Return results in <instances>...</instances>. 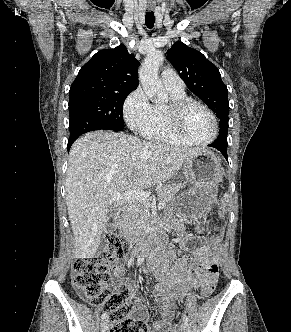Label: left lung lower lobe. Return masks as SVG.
<instances>
[{"instance_id":"0a47b994","label":"left lung lower lobe","mask_w":291,"mask_h":332,"mask_svg":"<svg viewBox=\"0 0 291 332\" xmlns=\"http://www.w3.org/2000/svg\"><path fill=\"white\" fill-rule=\"evenodd\" d=\"M209 146L214 147L218 149L228 160L227 157V137L224 134H219L218 138L216 141Z\"/></svg>"}]
</instances>
